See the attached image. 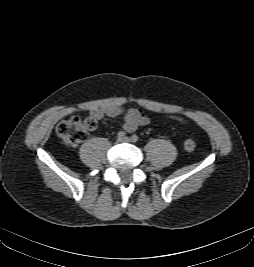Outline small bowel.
Returning a JSON list of instances; mask_svg holds the SVG:
<instances>
[{
  "label": "small bowel",
  "instance_id": "c3829d8e",
  "mask_svg": "<svg viewBox=\"0 0 254 267\" xmlns=\"http://www.w3.org/2000/svg\"><path fill=\"white\" fill-rule=\"evenodd\" d=\"M121 116L123 119V128L126 132L132 133L139 126L148 124L149 119L141 111L135 108L108 106L93 108L89 111V117L98 122L104 117Z\"/></svg>",
  "mask_w": 254,
  "mask_h": 267
}]
</instances>
